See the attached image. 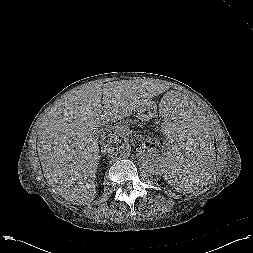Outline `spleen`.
Listing matches in <instances>:
<instances>
[{
  "mask_svg": "<svg viewBox=\"0 0 253 253\" xmlns=\"http://www.w3.org/2000/svg\"><path fill=\"white\" fill-rule=\"evenodd\" d=\"M161 141V167L170 183L182 191L198 188L211 170V143L203 118L186 108L170 111L161 124Z\"/></svg>",
  "mask_w": 253,
  "mask_h": 253,
  "instance_id": "1",
  "label": "spleen"
}]
</instances>
